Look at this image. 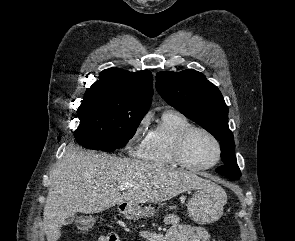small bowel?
I'll return each instance as SVG.
<instances>
[{"instance_id":"1","label":"small bowel","mask_w":295,"mask_h":241,"mask_svg":"<svg viewBox=\"0 0 295 241\" xmlns=\"http://www.w3.org/2000/svg\"><path fill=\"white\" fill-rule=\"evenodd\" d=\"M169 226L165 234L150 231L140 232V237L147 241H209L207 231L202 227L183 224L176 215H168L165 218ZM99 241H120L115 233L104 235Z\"/></svg>"}]
</instances>
